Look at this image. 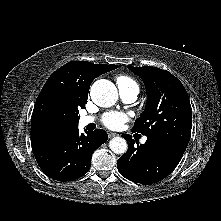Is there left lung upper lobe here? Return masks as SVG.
<instances>
[{"label":"left lung upper lobe","mask_w":221,"mask_h":221,"mask_svg":"<svg viewBox=\"0 0 221 221\" xmlns=\"http://www.w3.org/2000/svg\"><path fill=\"white\" fill-rule=\"evenodd\" d=\"M128 68L145 83L147 105L132 132L161 138L186 149L191 135L192 109L188 94L174 75L157 67Z\"/></svg>","instance_id":"left-lung-upper-lobe-1"}]
</instances>
